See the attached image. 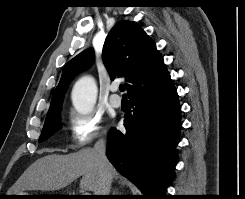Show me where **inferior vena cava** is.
Returning <instances> with one entry per match:
<instances>
[{
  "instance_id": "obj_1",
  "label": "inferior vena cava",
  "mask_w": 245,
  "mask_h": 199,
  "mask_svg": "<svg viewBox=\"0 0 245 199\" xmlns=\"http://www.w3.org/2000/svg\"><path fill=\"white\" fill-rule=\"evenodd\" d=\"M94 151L97 155L101 171V188L97 195H109L112 174L110 172V163L106 157V142L104 139H99L95 143Z\"/></svg>"
}]
</instances>
